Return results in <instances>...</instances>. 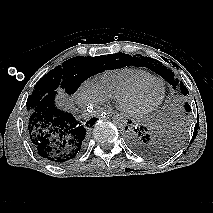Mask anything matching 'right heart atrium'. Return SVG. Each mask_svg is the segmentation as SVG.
I'll return each instance as SVG.
<instances>
[{
    "mask_svg": "<svg viewBox=\"0 0 213 213\" xmlns=\"http://www.w3.org/2000/svg\"><path fill=\"white\" fill-rule=\"evenodd\" d=\"M80 98L87 104H98L105 101V97L100 93L95 83L86 82L80 89Z\"/></svg>",
    "mask_w": 213,
    "mask_h": 213,
    "instance_id": "right-heart-atrium-1",
    "label": "right heart atrium"
}]
</instances>
